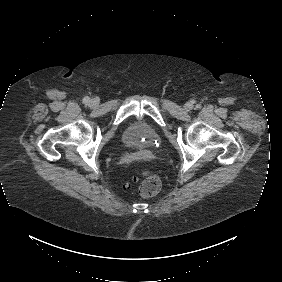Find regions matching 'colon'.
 Instances as JSON below:
<instances>
[{"label": "colon", "mask_w": 282, "mask_h": 282, "mask_svg": "<svg viewBox=\"0 0 282 282\" xmlns=\"http://www.w3.org/2000/svg\"><path fill=\"white\" fill-rule=\"evenodd\" d=\"M136 180V179H135ZM130 184L126 183L128 187ZM161 188V179L155 174L150 173L146 175L141 182H139V193L144 197H153Z\"/></svg>", "instance_id": "1"}]
</instances>
